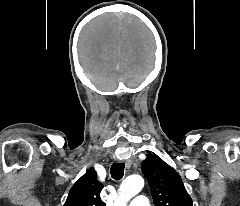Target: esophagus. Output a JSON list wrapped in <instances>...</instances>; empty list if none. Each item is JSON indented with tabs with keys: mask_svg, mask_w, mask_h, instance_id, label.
Listing matches in <instances>:
<instances>
[{
	"mask_svg": "<svg viewBox=\"0 0 240 206\" xmlns=\"http://www.w3.org/2000/svg\"><path fill=\"white\" fill-rule=\"evenodd\" d=\"M124 162H125V165H126V167H130L131 166V164H132V161L131 160H124Z\"/></svg>",
	"mask_w": 240,
	"mask_h": 206,
	"instance_id": "34e87169",
	"label": "esophagus"
}]
</instances>
